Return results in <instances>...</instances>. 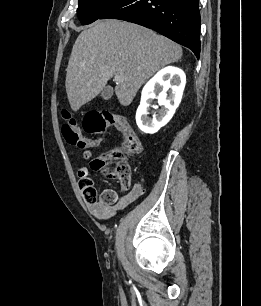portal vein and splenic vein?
<instances>
[{
	"mask_svg": "<svg viewBox=\"0 0 261 306\" xmlns=\"http://www.w3.org/2000/svg\"><path fill=\"white\" fill-rule=\"evenodd\" d=\"M114 80H115L116 82H121V81H122V77L119 76V75H115V76H114Z\"/></svg>",
	"mask_w": 261,
	"mask_h": 306,
	"instance_id": "portal-vein-and-splenic-vein-1",
	"label": "portal vein and splenic vein"
}]
</instances>
